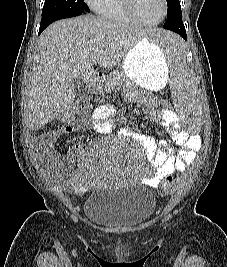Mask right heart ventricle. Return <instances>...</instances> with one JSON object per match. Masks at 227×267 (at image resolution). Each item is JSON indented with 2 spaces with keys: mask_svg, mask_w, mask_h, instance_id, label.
Masks as SVG:
<instances>
[{
  "mask_svg": "<svg viewBox=\"0 0 227 267\" xmlns=\"http://www.w3.org/2000/svg\"><path fill=\"white\" fill-rule=\"evenodd\" d=\"M98 13L105 19L125 23L138 24L126 11L123 0H107L106 3L99 9Z\"/></svg>",
  "mask_w": 227,
  "mask_h": 267,
  "instance_id": "e07e8e85",
  "label": "right heart ventricle"
}]
</instances>
